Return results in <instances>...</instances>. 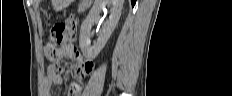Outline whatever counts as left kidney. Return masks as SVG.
I'll return each instance as SVG.
<instances>
[{"label":"left kidney","mask_w":232,"mask_h":96,"mask_svg":"<svg viewBox=\"0 0 232 96\" xmlns=\"http://www.w3.org/2000/svg\"><path fill=\"white\" fill-rule=\"evenodd\" d=\"M124 0H95L89 14L82 22L80 28L79 44L81 51L86 59H94L104 48L112 32L116 28L121 16ZM106 5L111 6V14L109 20L103 24L101 33L97 41L91 45V28L92 25L99 20V14Z\"/></svg>","instance_id":"obj_1"}]
</instances>
